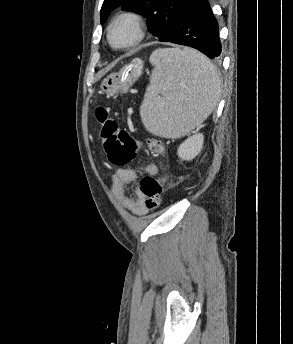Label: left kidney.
<instances>
[{
  "label": "left kidney",
  "instance_id": "1",
  "mask_svg": "<svg viewBox=\"0 0 293 344\" xmlns=\"http://www.w3.org/2000/svg\"><path fill=\"white\" fill-rule=\"evenodd\" d=\"M204 136L201 133L193 134L180 144L177 150L178 157L183 161L194 159L202 150Z\"/></svg>",
  "mask_w": 293,
  "mask_h": 344
}]
</instances>
